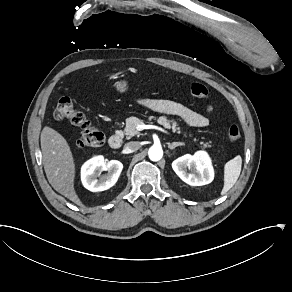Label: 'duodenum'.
Listing matches in <instances>:
<instances>
[{"label": "duodenum", "mask_w": 292, "mask_h": 292, "mask_svg": "<svg viewBox=\"0 0 292 292\" xmlns=\"http://www.w3.org/2000/svg\"><path fill=\"white\" fill-rule=\"evenodd\" d=\"M122 144H123V137L119 133H115L109 138V146L112 149H119L122 146Z\"/></svg>", "instance_id": "obj_1"}]
</instances>
